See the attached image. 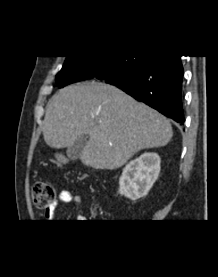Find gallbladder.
Segmentation results:
<instances>
[{
	"mask_svg": "<svg viewBox=\"0 0 218 277\" xmlns=\"http://www.w3.org/2000/svg\"><path fill=\"white\" fill-rule=\"evenodd\" d=\"M87 142L88 140H87V137L85 136L78 138L72 146L68 147L66 152L68 158H70L71 160L78 159L81 155L82 150L86 146Z\"/></svg>",
	"mask_w": 218,
	"mask_h": 277,
	"instance_id": "gallbladder-1",
	"label": "gallbladder"
}]
</instances>
